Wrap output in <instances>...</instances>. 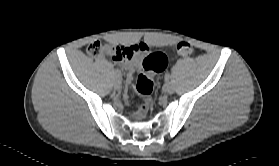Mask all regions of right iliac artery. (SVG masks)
<instances>
[{"instance_id": "obj_1", "label": "right iliac artery", "mask_w": 279, "mask_h": 166, "mask_svg": "<svg viewBox=\"0 0 279 166\" xmlns=\"http://www.w3.org/2000/svg\"><path fill=\"white\" fill-rule=\"evenodd\" d=\"M115 74H116L117 77H121V72L119 70H116Z\"/></svg>"}]
</instances>
